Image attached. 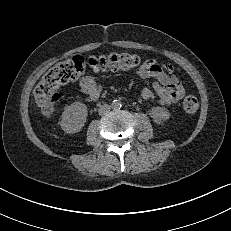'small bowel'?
I'll use <instances>...</instances> for the list:
<instances>
[{"mask_svg": "<svg viewBox=\"0 0 231 231\" xmlns=\"http://www.w3.org/2000/svg\"><path fill=\"white\" fill-rule=\"evenodd\" d=\"M137 74L142 79L153 78L152 89L145 87L141 91L144 100L154 98L156 94L161 105H170L181 100L185 94L184 87L174 74V68L168 63H159L155 59H147L139 67ZM79 86L83 93L97 98L101 87L89 75H82Z\"/></svg>", "mask_w": 231, "mask_h": 231, "instance_id": "c3829d8e", "label": "small bowel"}]
</instances>
